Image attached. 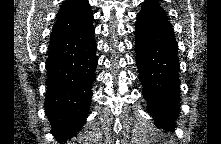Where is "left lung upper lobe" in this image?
<instances>
[{"label": "left lung upper lobe", "instance_id": "5c2ea615", "mask_svg": "<svg viewBox=\"0 0 221 144\" xmlns=\"http://www.w3.org/2000/svg\"><path fill=\"white\" fill-rule=\"evenodd\" d=\"M138 15L156 17L167 20V15L161 8L158 0H146L142 6V10Z\"/></svg>", "mask_w": 221, "mask_h": 144}]
</instances>
